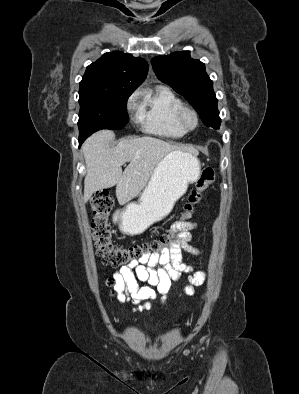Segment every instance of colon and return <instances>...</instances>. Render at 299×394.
<instances>
[{"mask_svg":"<svg viewBox=\"0 0 299 394\" xmlns=\"http://www.w3.org/2000/svg\"><path fill=\"white\" fill-rule=\"evenodd\" d=\"M214 179L215 173L212 168L202 170L183 206L180 215L181 221H186L195 213L196 206L203 200L204 191L214 182ZM113 206L114 199L107 191L95 193L90 201V208L94 215L92 222L94 245L97 255L105 265L125 266L145 256L160 254L171 248L178 239V233L170 228L148 242L128 246L115 245L111 239V229L108 222ZM107 284L110 287L115 286L114 280H109Z\"/></svg>","mask_w":299,"mask_h":394,"instance_id":"colon-1","label":"colon"}]
</instances>
